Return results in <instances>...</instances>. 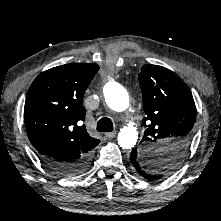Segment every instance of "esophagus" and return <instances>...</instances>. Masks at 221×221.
<instances>
[{
	"mask_svg": "<svg viewBox=\"0 0 221 221\" xmlns=\"http://www.w3.org/2000/svg\"><path fill=\"white\" fill-rule=\"evenodd\" d=\"M105 136L109 139L113 138L116 136V132H108V133H105Z\"/></svg>",
	"mask_w": 221,
	"mask_h": 221,
	"instance_id": "esophagus-1",
	"label": "esophagus"
}]
</instances>
